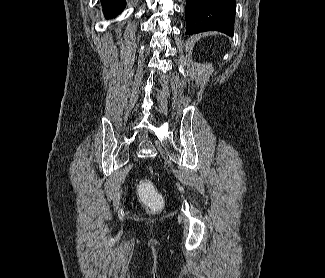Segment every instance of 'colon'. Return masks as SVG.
<instances>
[{
  "label": "colon",
  "instance_id": "5ec220e1",
  "mask_svg": "<svg viewBox=\"0 0 325 278\" xmlns=\"http://www.w3.org/2000/svg\"><path fill=\"white\" fill-rule=\"evenodd\" d=\"M139 194L141 200L152 211L158 210L163 204V198L154 185L148 180H142L139 183Z\"/></svg>",
  "mask_w": 325,
  "mask_h": 278
}]
</instances>
